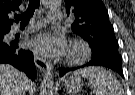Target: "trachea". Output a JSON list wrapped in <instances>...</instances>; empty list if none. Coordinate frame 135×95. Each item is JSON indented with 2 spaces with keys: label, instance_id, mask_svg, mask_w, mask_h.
<instances>
[{
  "label": "trachea",
  "instance_id": "1",
  "mask_svg": "<svg viewBox=\"0 0 135 95\" xmlns=\"http://www.w3.org/2000/svg\"><path fill=\"white\" fill-rule=\"evenodd\" d=\"M39 5V0H29L27 10L20 15H16L15 19L21 20V26H25L29 22L30 18L33 16L35 9L39 8Z\"/></svg>",
  "mask_w": 135,
  "mask_h": 95
}]
</instances>
